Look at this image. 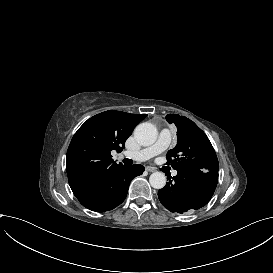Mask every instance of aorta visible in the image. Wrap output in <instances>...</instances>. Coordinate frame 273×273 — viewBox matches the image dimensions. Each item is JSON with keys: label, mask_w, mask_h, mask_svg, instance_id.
<instances>
[{"label": "aorta", "mask_w": 273, "mask_h": 273, "mask_svg": "<svg viewBox=\"0 0 273 273\" xmlns=\"http://www.w3.org/2000/svg\"><path fill=\"white\" fill-rule=\"evenodd\" d=\"M157 135L156 127L148 122L139 124L134 130V137L142 146L152 145ZM149 182L153 188L162 189L166 184V177L162 172H154L150 175Z\"/></svg>", "instance_id": "1"}]
</instances>
